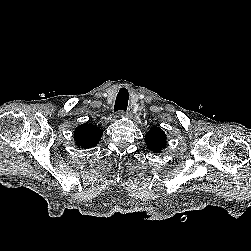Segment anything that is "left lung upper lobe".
I'll use <instances>...</instances> for the list:
<instances>
[{"mask_svg":"<svg viewBox=\"0 0 251 251\" xmlns=\"http://www.w3.org/2000/svg\"><path fill=\"white\" fill-rule=\"evenodd\" d=\"M167 137L160 127L150 129L145 135V142L149 150L154 153H160L167 145Z\"/></svg>","mask_w":251,"mask_h":251,"instance_id":"1","label":"left lung upper lobe"}]
</instances>
